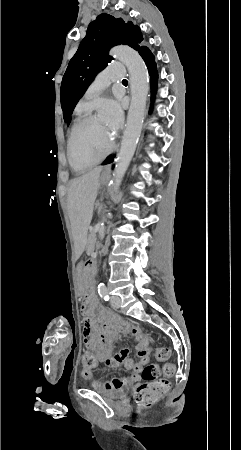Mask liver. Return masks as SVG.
Segmentation results:
<instances>
[{
    "instance_id": "6515ba94",
    "label": "liver",
    "mask_w": 241,
    "mask_h": 450,
    "mask_svg": "<svg viewBox=\"0 0 241 450\" xmlns=\"http://www.w3.org/2000/svg\"><path fill=\"white\" fill-rule=\"evenodd\" d=\"M102 168H95L89 174L72 180L68 190V208L70 220L89 226L92 220L94 202L97 198Z\"/></svg>"
}]
</instances>
